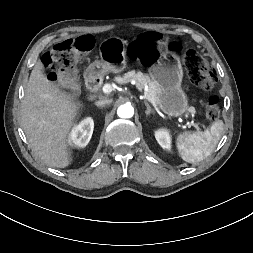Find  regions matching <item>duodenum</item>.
Instances as JSON below:
<instances>
[{
	"label": "duodenum",
	"mask_w": 253,
	"mask_h": 253,
	"mask_svg": "<svg viewBox=\"0 0 253 253\" xmlns=\"http://www.w3.org/2000/svg\"><path fill=\"white\" fill-rule=\"evenodd\" d=\"M99 86H100L99 78H97L95 76H89L88 77L87 87H88V90L90 91V93L92 94V96H94L96 94V92L98 91Z\"/></svg>",
	"instance_id": "obj_1"
}]
</instances>
